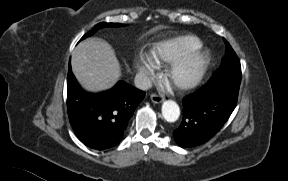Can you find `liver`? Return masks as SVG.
I'll use <instances>...</instances> for the list:
<instances>
[{"label": "liver", "mask_w": 288, "mask_h": 181, "mask_svg": "<svg viewBox=\"0 0 288 181\" xmlns=\"http://www.w3.org/2000/svg\"><path fill=\"white\" fill-rule=\"evenodd\" d=\"M71 66L81 86L91 92L111 88L121 76L119 62L110 45L95 38L77 45L72 52Z\"/></svg>", "instance_id": "1"}]
</instances>
